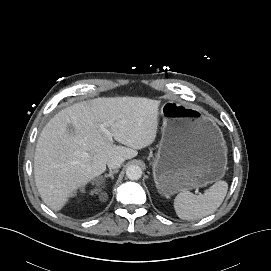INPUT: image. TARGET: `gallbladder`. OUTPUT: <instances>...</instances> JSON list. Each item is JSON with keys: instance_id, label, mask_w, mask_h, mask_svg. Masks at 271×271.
<instances>
[{"instance_id": "gallbladder-1", "label": "gallbladder", "mask_w": 271, "mask_h": 271, "mask_svg": "<svg viewBox=\"0 0 271 271\" xmlns=\"http://www.w3.org/2000/svg\"><path fill=\"white\" fill-rule=\"evenodd\" d=\"M69 130H70V132H72V131H73V128L70 126V127H69Z\"/></svg>"}]
</instances>
